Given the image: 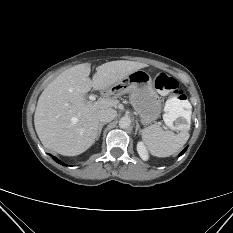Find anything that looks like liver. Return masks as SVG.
<instances>
[{
	"label": "liver",
	"mask_w": 233,
	"mask_h": 233,
	"mask_svg": "<svg viewBox=\"0 0 233 233\" xmlns=\"http://www.w3.org/2000/svg\"><path fill=\"white\" fill-rule=\"evenodd\" d=\"M147 67L145 63L117 60L96 67L89 78L90 63L73 66L58 75L42 92L34 114L36 133L43 146L65 156H76L90 148L99 130L98 114L113 108L118 100H86L94 90H106L131 72Z\"/></svg>",
	"instance_id": "6515ba94"
}]
</instances>
